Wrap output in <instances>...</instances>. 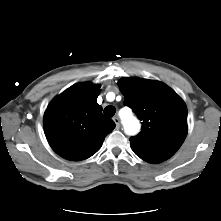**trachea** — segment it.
Segmentation results:
<instances>
[{
  "label": "trachea",
  "mask_w": 221,
  "mask_h": 221,
  "mask_svg": "<svg viewBox=\"0 0 221 221\" xmlns=\"http://www.w3.org/2000/svg\"><path fill=\"white\" fill-rule=\"evenodd\" d=\"M115 112H116V109L114 106L112 105H109V106H106L104 108V114L107 116V117H113L115 115Z\"/></svg>",
  "instance_id": "trachea-1"
}]
</instances>
